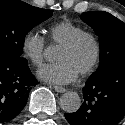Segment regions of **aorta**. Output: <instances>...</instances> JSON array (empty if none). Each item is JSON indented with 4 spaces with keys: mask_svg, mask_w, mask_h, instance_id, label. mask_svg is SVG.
Returning a JSON list of instances; mask_svg holds the SVG:
<instances>
[{
    "mask_svg": "<svg viewBox=\"0 0 125 125\" xmlns=\"http://www.w3.org/2000/svg\"><path fill=\"white\" fill-rule=\"evenodd\" d=\"M53 49L52 47H48L44 50V57L47 60L53 59ZM60 106L61 108L68 113L76 112L81 106V98L78 93L73 91H68L64 93L60 98Z\"/></svg>",
    "mask_w": 125,
    "mask_h": 125,
    "instance_id": "762f6f07",
    "label": "aorta"
}]
</instances>
